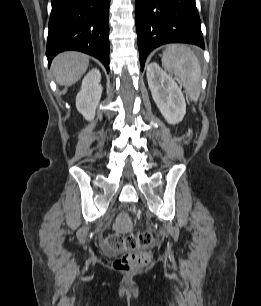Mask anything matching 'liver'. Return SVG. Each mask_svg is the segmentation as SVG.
<instances>
[{
  "label": "liver",
  "mask_w": 261,
  "mask_h": 306,
  "mask_svg": "<svg viewBox=\"0 0 261 306\" xmlns=\"http://www.w3.org/2000/svg\"><path fill=\"white\" fill-rule=\"evenodd\" d=\"M89 58L78 52H65L52 62V71L58 84L71 86L86 72Z\"/></svg>",
  "instance_id": "6515ba94"
}]
</instances>
